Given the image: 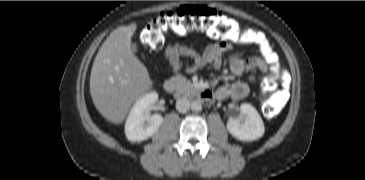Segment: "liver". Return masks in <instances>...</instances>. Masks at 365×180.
I'll return each mask as SVG.
<instances>
[{"instance_id":"obj_1","label":"liver","mask_w":365,"mask_h":180,"mask_svg":"<svg viewBox=\"0 0 365 180\" xmlns=\"http://www.w3.org/2000/svg\"><path fill=\"white\" fill-rule=\"evenodd\" d=\"M137 24L113 30L100 47L90 76V93L99 113L121 124L135 100L153 85L147 68L134 55L131 37Z\"/></svg>"}]
</instances>
